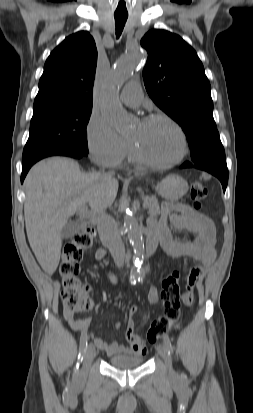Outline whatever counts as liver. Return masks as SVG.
Listing matches in <instances>:
<instances>
[{"mask_svg":"<svg viewBox=\"0 0 253 413\" xmlns=\"http://www.w3.org/2000/svg\"><path fill=\"white\" fill-rule=\"evenodd\" d=\"M118 181L84 173L69 158L53 157L34 165L24 181V216L29 244L42 269L52 275L61 255V230L82 205L97 214L114 202Z\"/></svg>","mask_w":253,"mask_h":413,"instance_id":"obj_1","label":"liver"}]
</instances>
